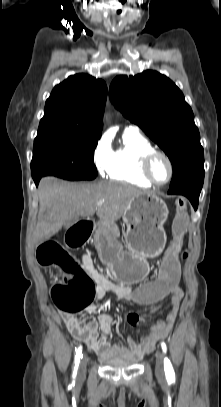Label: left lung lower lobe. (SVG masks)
Listing matches in <instances>:
<instances>
[{"label": "left lung lower lobe", "instance_id": "0a47b994", "mask_svg": "<svg viewBox=\"0 0 221 407\" xmlns=\"http://www.w3.org/2000/svg\"><path fill=\"white\" fill-rule=\"evenodd\" d=\"M204 181V168L198 169L180 181L170 186L168 194H179L186 196L192 203L194 209L198 207L200 191Z\"/></svg>", "mask_w": 221, "mask_h": 407}]
</instances>
